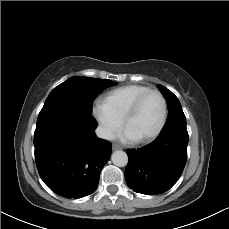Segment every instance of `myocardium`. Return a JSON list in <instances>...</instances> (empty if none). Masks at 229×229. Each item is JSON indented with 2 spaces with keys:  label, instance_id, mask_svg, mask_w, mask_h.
I'll return each mask as SVG.
<instances>
[{
  "label": "myocardium",
  "instance_id": "f54148a6",
  "mask_svg": "<svg viewBox=\"0 0 229 229\" xmlns=\"http://www.w3.org/2000/svg\"><path fill=\"white\" fill-rule=\"evenodd\" d=\"M150 94H157L162 101L163 112H162L161 122H160L158 128L153 133H151L150 135H148L146 137L133 140L131 142L133 144H144V143L152 142L162 133V131L164 130L165 125L167 123V118H168L167 100H166L165 96L160 91H158L156 89H150V90L144 92L143 94H141L140 96H138L127 108V110L123 116V119H122L123 130L125 131V128H126L128 122L131 120V118L137 112V110H138L139 106L141 105V103L143 102V100L147 96H149Z\"/></svg>",
  "mask_w": 229,
  "mask_h": 229
}]
</instances>
